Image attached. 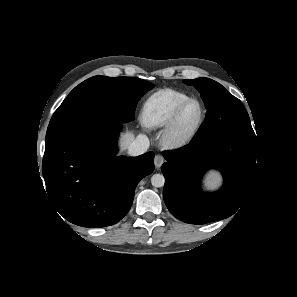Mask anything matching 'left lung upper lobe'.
Masks as SVG:
<instances>
[{
  "instance_id": "obj_1",
  "label": "left lung upper lobe",
  "mask_w": 297,
  "mask_h": 297,
  "mask_svg": "<svg viewBox=\"0 0 297 297\" xmlns=\"http://www.w3.org/2000/svg\"><path fill=\"white\" fill-rule=\"evenodd\" d=\"M184 83L194 86L199 91L207 109L205 121L193 137L194 139L234 135L256 142L246 109L241 101L231 95L221 84L205 77L184 80Z\"/></svg>"
}]
</instances>
